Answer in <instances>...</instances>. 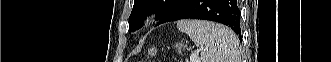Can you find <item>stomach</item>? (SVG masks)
Instances as JSON below:
<instances>
[{"label":"stomach","instance_id":"obj_1","mask_svg":"<svg viewBox=\"0 0 331 62\" xmlns=\"http://www.w3.org/2000/svg\"><path fill=\"white\" fill-rule=\"evenodd\" d=\"M175 48L177 49V51L181 52V49H182V48L185 49L186 46H185L184 44H182V43H177V44L175 45ZM156 52H157V50H156L155 48H152V49L149 50L150 55H155Z\"/></svg>","mask_w":331,"mask_h":62}]
</instances>
